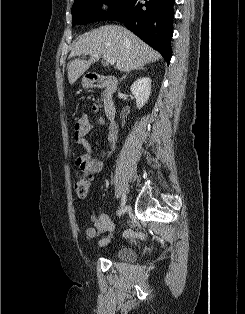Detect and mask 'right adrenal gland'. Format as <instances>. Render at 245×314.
<instances>
[{
	"label": "right adrenal gland",
	"instance_id": "obj_1",
	"mask_svg": "<svg viewBox=\"0 0 245 314\" xmlns=\"http://www.w3.org/2000/svg\"><path fill=\"white\" fill-rule=\"evenodd\" d=\"M132 70H134V71H141V70H144V68H143V67H139V68H135V69H132ZM128 74H129V72H128L126 75H124V76L120 79V81H122L123 79H125Z\"/></svg>",
	"mask_w": 245,
	"mask_h": 314
}]
</instances>
